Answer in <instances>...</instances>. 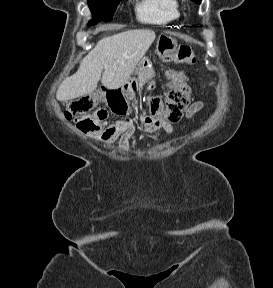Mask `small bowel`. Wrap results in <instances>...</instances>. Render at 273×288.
<instances>
[{"label": "small bowel", "mask_w": 273, "mask_h": 288, "mask_svg": "<svg viewBox=\"0 0 273 288\" xmlns=\"http://www.w3.org/2000/svg\"><path fill=\"white\" fill-rule=\"evenodd\" d=\"M202 108L203 102H194L186 111V119L192 118L194 115L200 112ZM139 129L147 133H153L160 129L165 130L167 133L173 132V127L169 122L158 120L150 115L142 114L140 115V126L135 124L133 121H121L108 127H104L102 124H99L92 134L96 138H99L107 143L114 142L119 138L121 146L126 148L130 138Z\"/></svg>", "instance_id": "c3829d8e"}]
</instances>
